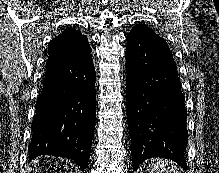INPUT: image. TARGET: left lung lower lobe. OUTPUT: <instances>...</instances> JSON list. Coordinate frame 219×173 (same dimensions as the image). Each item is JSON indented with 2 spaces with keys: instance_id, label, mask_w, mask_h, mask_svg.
I'll list each match as a JSON object with an SVG mask.
<instances>
[{
  "instance_id": "obj_1",
  "label": "left lung lower lobe",
  "mask_w": 219,
  "mask_h": 173,
  "mask_svg": "<svg viewBox=\"0 0 219 173\" xmlns=\"http://www.w3.org/2000/svg\"><path fill=\"white\" fill-rule=\"evenodd\" d=\"M127 42L126 107L133 167L161 157L185 168V97L171 51L156 34L128 35Z\"/></svg>"
}]
</instances>
